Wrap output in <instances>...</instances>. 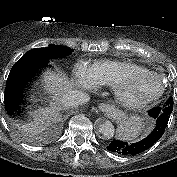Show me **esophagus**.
<instances>
[{"mask_svg": "<svg viewBox=\"0 0 177 177\" xmlns=\"http://www.w3.org/2000/svg\"><path fill=\"white\" fill-rule=\"evenodd\" d=\"M98 107H99V110L105 114L112 112V110L114 109L112 105L107 104V103H101L99 104Z\"/></svg>", "mask_w": 177, "mask_h": 177, "instance_id": "1", "label": "esophagus"}]
</instances>
